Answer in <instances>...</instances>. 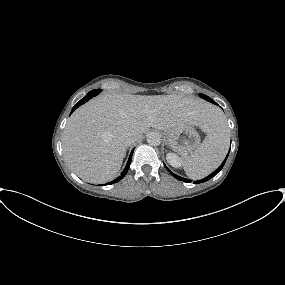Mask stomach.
<instances>
[{
  "label": "stomach",
  "mask_w": 285,
  "mask_h": 285,
  "mask_svg": "<svg viewBox=\"0 0 285 285\" xmlns=\"http://www.w3.org/2000/svg\"><path fill=\"white\" fill-rule=\"evenodd\" d=\"M168 145L176 152L186 156L196 151L200 136L193 125H184L165 130Z\"/></svg>",
  "instance_id": "stomach-1"
}]
</instances>
